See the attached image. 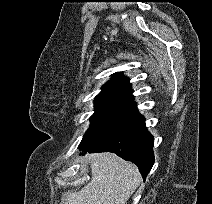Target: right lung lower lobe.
<instances>
[{"mask_svg":"<svg viewBox=\"0 0 212 204\" xmlns=\"http://www.w3.org/2000/svg\"><path fill=\"white\" fill-rule=\"evenodd\" d=\"M154 138L147 131L145 119L138 115L125 129L102 143L88 148L86 152H113L135 163L144 180L154 164Z\"/></svg>","mask_w":212,"mask_h":204,"instance_id":"right-lung-lower-lobe-1","label":"right lung lower lobe"}]
</instances>
